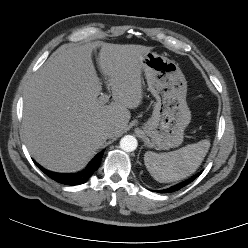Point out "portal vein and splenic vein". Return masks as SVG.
<instances>
[{"mask_svg":"<svg viewBox=\"0 0 248 248\" xmlns=\"http://www.w3.org/2000/svg\"><path fill=\"white\" fill-rule=\"evenodd\" d=\"M109 98H110V95H108V94H103V95H101V96L99 97V99H100L102 102H104V103L108 102Z\"/></svg>","mask_w":248,"mask_h":248,"instance_id":"18ae733b","label":"portal vein and splenic vein"}]
</instances>
